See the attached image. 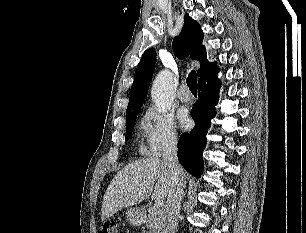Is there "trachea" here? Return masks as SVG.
<instances>
[{"label":"trachea","instance_id":"obj_1","mask_svg":"<svg viewBox=\"0 0 306 233\" xmlns=\"http://www.w3.org/2000/svg\"><path fill=\"white\" fill-rule=\"evenodd\" d=\"M186 82L191 92H197V75L194 70L189 73Z\"/></svg>","mask_w":306,"mask_h":233}]
</instances>
